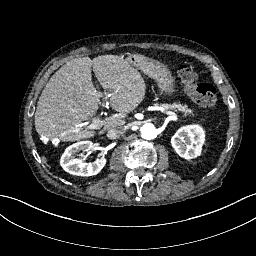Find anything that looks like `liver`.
<instances>
[{
  "label": "liver",
  "instance_id": "obj_1",
  "mask_svg": "<svg viewBox=\"0 0 256 256\" xmlns=\"http://www.w3.org/2000/svg\"><path fill=\"white\" fill-rule=\"evenodd\" d=\"M91 67L100 85L97 91L91 79ZM147 84L134 62L116 54L97 55L92 60L78 57L61 67L48 81L39 97L35 128L40 137L62 142L93 138L94 129L79 128L91 124L103 97L122 115L132 113L145 99ZM126 123L124 118H109L102 123L106 132Z\"/></svg>",
  "mask_w": 256,
  "mask_h": 256
}]
</instances>
